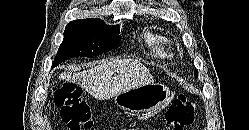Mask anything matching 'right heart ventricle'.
<instances>
[{
    "label": "right heart ventricle",
    "instance_id": "1",
    "mask_svg": "<svg viewBox=\"0 0 249 130\" xmlns=\"http://www.w3.org/2000/svg\"><path fill=\"white\" fill-rule=\"evenodd\" d=\"M144 41L155 56L160 58H172L174 56L172 41L165 34L155 29H148L144 34Z\"/></svg>",
    "mask_w": 249,
    "mask_h": 130
}]
</instances>
